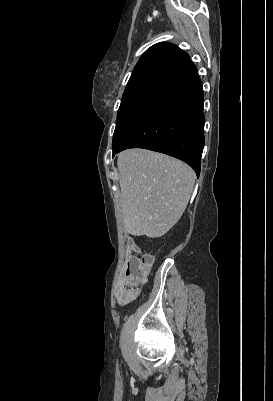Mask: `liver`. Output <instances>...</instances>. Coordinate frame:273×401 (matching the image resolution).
<instances>
[{
    "label": "liver",
    "instance_id": "6515ba94",
    "mask_svg": "<svg viewBox=\"0 0 273 401\" xmlns=\"http://www.w3.org/2000/svg\"><path fill=\"white\" fill-rule=\"evenodd\" d=\"M125 231L135 237H162L181 219L195 172L168 154L129 148L118 154Z\"/></svg>",
    "mask_w": 273,
    "mask_h": 401
}]
</instances>
